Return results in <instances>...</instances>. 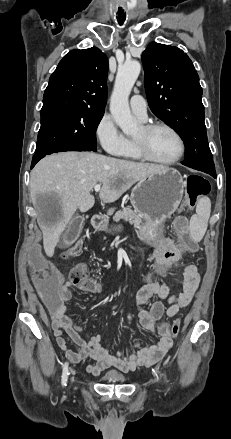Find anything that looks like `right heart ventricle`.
Wrapping results in <instances>:
<instances>
[{
  "label": "right heart ventricle",
  "instance_id": "right-heart-ventricle-1",
  "mask_svg": "<svg viewBox=\"0 0 231 439\" xmlns=\"http://www.w3.org/2000/svg\"><path fill=\"white\" fill-rule=\"evenodd\" d=\"M125 158L130 160H140L141 157L137 153L132 140L127 139V147L123 155Z\"/></svg>",
  "mask_w": 231,
  "mask_h": 439
}]
</instances>
